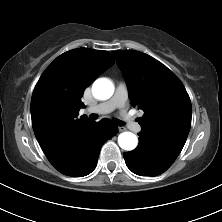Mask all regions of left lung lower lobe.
Returning a JSON list of instances; mask_svg holds the SVG:
<instances>
[{
    "label": "left lung lower lobe",
    "mask_w": 222,
    "mask_h": 222,
    "mask_svg": "<svg viewBox=\"0 0 222 222\" xmlns=\"http://www.w3.org/2000/svg\"><path fill=\"white\" fill-rule=\"evenodd\" d=\"M177 157L153 139L139 137L138 147L124 153L127 167L137 175L156 176L166 171Z\"/></svg>",
    "instance_id": "left-lung-lower-lobe-1"
}]
</instances>
